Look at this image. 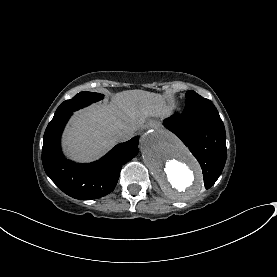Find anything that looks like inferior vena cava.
<instances>
[{
  "label": "inferior vena cava",
  "instance_id": "602c4592",
  "mask_svg": "<svg viewBox=\"0 0 277 277\" xmlns=\"http://www.w3.org/2000/svg\"><path fill=\"white\" fill-rule=\"evenodd\" d=\"M135 131L131 127L120 128L114 132L113 138L117 142L127 141L135 135Z\"/></svg>",
  "mask_w": 277,
  "mask_h": 277
}]
</instances>
